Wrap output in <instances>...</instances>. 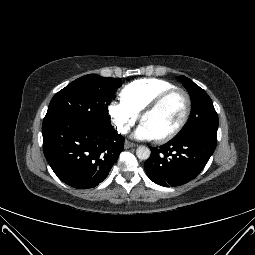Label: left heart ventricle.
<instances>
[{
  "mask_svg": "<svg viewBox=\"0 0 255 255\" xmlns=\"http://www.w3.org/2000/svg\"><path fill=\"white\" fill-rule=\"evenodd\" d=\"M186 107L185 98L175 93L167 98L156 110L149 113L142 122L146 123L155 136L161 137L173 130L180 122Z\"/></svg>",
  "mask_w": 255,
  "mask_h": 255,
  "instance_id": "b2bd125f",
  "label": "left heart ventricle"
}]
</instances>
